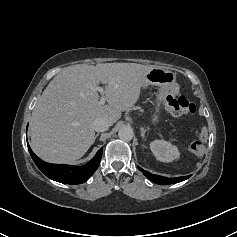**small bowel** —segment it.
<instances>
[{
	"instance_id": "small-bowel-1",
	"label": "small bowel",
	"mask_w": 237,
	"mask_h": 237,
	"mask_svg": "<svg viewBox=\"0 0 237 237\" xmlns=\"http://www.w3.org/2000/svg\"><path fill=\"white\" fill-rule=\"evenodd\" d=\"M176 93V88H173L172 90H171V94H175Z\"/></svg>"
}]
</instances>
